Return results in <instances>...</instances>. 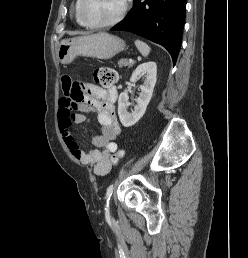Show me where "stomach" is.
I'll return each instance as SVG.
<instances>
[{"label":"stomach","mask_w":248,"mask_h":258,"mask_svg":"<svg viewBox=\"0 0 248 258\" xmlns=\"http://www.w3.org/2000/svg\"><path fill=\"white\" fill-rule=\"evenodd\" d=\"M124 49L125 42L121 38L102 32L62 40L57 54L60 62L68 65L77 56L110 59Z\"/></svg>","instance_id":"0dacf381"}]
</instances>
